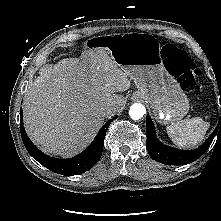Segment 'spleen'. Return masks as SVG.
Segmentation results:
<instances>
[{"label":"spleen","instance_id":"3e777b00","mask_svg":"<svg viewBox=\"0 0 221 221\" xmlns=\"http://www.w3.org/2000/svg\"><path fill=\"white\" fill-rule=\"evenodd\" d=\"M209 126V122L203 118L195 117L172 123L166 127V130L173 143L182 148H191L204 139Z\"/></svg>","mask_w":221,"mask_h":221}]
</instances>
